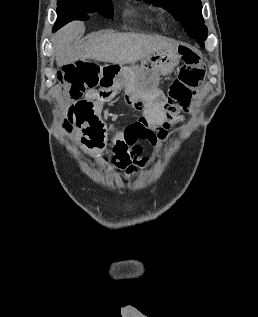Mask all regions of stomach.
Returning a JSON list of instances; mask_svg holds the SVG:
<instances>
[{"instance_id": "stomach-1", "label": "stomach", "mask_w": 258, "mask_h": 317, "mask_svg": "<svg viewBox=\"0 0 258 317\" xmlns=\"http://www.w3.org/2000/svg\"><path fill=\"white\" fill-rule=\"evenodd\" d=\"M180 58L179 44H177V46L171 48V50H155V52H151L148 56H144L140 66L131 62V64L122 66V68L133 70L136 74H152V72H157V74H170L171 70H174L175 66L179 64Z\"/></svg>"}]
</instances>
